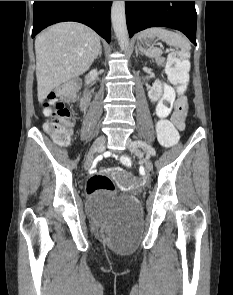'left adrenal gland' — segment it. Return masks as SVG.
<instances>
[{"instance_id": "left-adrenal-gland-1", "label": "left adrenal gland", "mask_w": 233, "mask_h": 295, "mask_svg": "<svg viewBox=\"0 0 233 295\" xmlns=\"http://www.w3.org/2000/svg\"><path fill=\"white\" fill-rule=\"evenodd\" d=\"M135 53H136V56H138L139 54H142V53L139 52L137 46L135 47Z\"/></svg>"}]
</instances>
